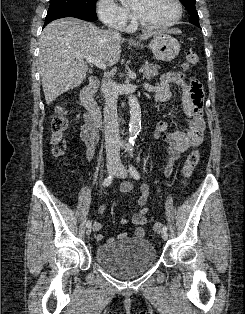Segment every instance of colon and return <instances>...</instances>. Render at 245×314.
I'll list each match as a JSON object with an SVG mask.
<instances>
[{"label":"colon","mask_w":245,"mask_h":314,"mask_svg":"<svg viewBox=\"0 0 245 314\" xmlns=\"http://www.w3.org/2000/svg\"><path fill=\"white\" fill-rule=\"evenodd\" d=\"M198 55L194 52L187 53L185 60L183 62V68L186 70L191 66L198 63ZM66 107L64 104H59L56 107L55 115L52 119L51 130L52 137L51 142L54 146L53 154L56 157H59L65 146V133L68 127V121L66 118ZM200 159V151L199 149H193L187 156L185 164L182 168V174L185 179L189 178L194 172L198 162ZM162 223H155L153 225V232L159 233L162 230Z\"/></svg>","instance_id":"1"}]
</instances>
